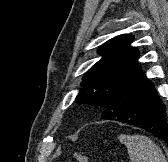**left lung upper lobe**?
<instances>
[{
  "label": "left lung upper lobe",
  "instance_id": "left-lung-upper-lobe-1",
  "mask_svg": "<svg viewBox=\"0 0 168 162\" xmlns=\"http://www.w3.org/2000/svg\"><path fill=\"white\" fill-rule=\"evenodd\" d=\"M132 35H119L102 45L103 57L84 76L83 89L76 97L78 104L106 108L109 96L130 80L139 70V51L130 46Z\"/></svg>",
  "mask_w": 168,
  "mask_h": 162
}]
</instances>
